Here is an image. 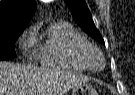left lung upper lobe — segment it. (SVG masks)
<instances>
[{"instance_id": "1", "label": "left lung upper lobe", "mask_w": 135, "mask_h": 95, "mask_svg": "<svg viewBox=\"0 0 135 95\" xmlns=\"http://www.w3.org/2000/svg\"><path fill=\"white\" fill-rule=\"evenodd\" d=\"M69 7L77 24L92 38L101 44H104V40L96 28L90 11L84 0H64Z\"/></svg>"}]
</instances>
